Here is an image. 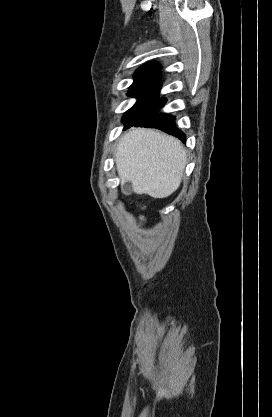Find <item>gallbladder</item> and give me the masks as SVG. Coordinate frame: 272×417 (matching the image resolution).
Segmentation results:
<instances>
[{
	"instance_id": "1",
	"label": "gallbladder",
	"mask_w": 272,
	"mask_h": 417,
	"mask_svg": "<svg viewBox=\"0 0 272 417\" xmlns=\"http://www.w3.org/2000/svg\"><path fill=\"white\" fill-rule=\"evenodd\" d=\"M132 189H133L132 184L129 181H126L124 185L122 186V191L125 194L131 193Z\"/></svg>"
}]
</instances>
